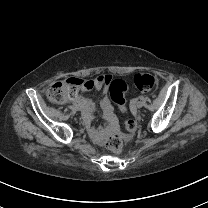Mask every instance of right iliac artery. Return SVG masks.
<instances>
[{
	"instance_id": "82829eb1",
	"label": "right iliac artery",
	"mask_w": 208,
	"mask_h": 208,
	"mask_svg": "<svg viewBox=\"0 0 208 208\" xmlns=\"http://www.w3.org/2000/svg\"><path fill=\"white\" fill-rule=\"evenodd\" d=\"M73 105H74V106H77V103H76V102H73Z\"/></svg>"
}]
</instances>
